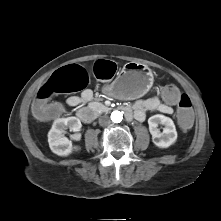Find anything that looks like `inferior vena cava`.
Masks as SVG:
<instances>
[{
    "mask_svg": "<svg viewBox=\"0 0 221 221\" xmlns=\"http://www.w3.org/2000/svg\"><path fill=\"white\" fill-rule=\"evenodd\" d=\"M110 123L111 121L107 115H103L99 118V124L101 126H108Z\"/></svg>",
    "mask_w": 221,
    "mask_h": 221,
    "instance_id": "602c4592",
    "label": "inferior vena cava"
}]
</instances>
